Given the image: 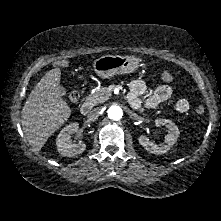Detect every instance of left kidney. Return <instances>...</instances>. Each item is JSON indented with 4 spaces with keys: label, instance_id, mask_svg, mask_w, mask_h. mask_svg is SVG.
I'll return each mask as SVG.
<instances>
[{
    "label": "left kidney",
    "instance_id": "5707ae66",
    "mask_svg": "<svg viewBox=\"0 0 221 221\" xmlns=\"http://www.w3.org/2000/svg\"><path fill=\"white\" fill-rule=\"evenodd\" d=\"M155 125L157 127L165 126L169 130L168 134L165 136V143L161 145L154 144L150 142L149 139L144 135L139 136L138 141L146 151L153 154H162L170 150L171 147L176 143L179 135V129L169 119H156Z\"/></svg>",
    "mask_w": 221,
    "mask_h": 221
}]
</instances>
